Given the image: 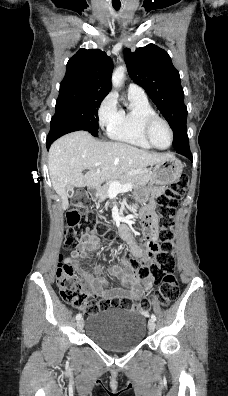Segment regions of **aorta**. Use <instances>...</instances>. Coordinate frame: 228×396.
<instances>
[{"mask_svg":"<svg viewBox=\"0 0 228 396\" xmlns=\"http://www.w3.org/2000/svg\"><path fill=\"white\" fill-rule=\"evenodd\" d=\"M126 68L125 66L118 67L112 75V85L116 88L120 87L123 83Z\"/></svg>","mask_w":228,"mask_h":396,"instance_id":"obj_1","label":"aorta"}]
</instances>
